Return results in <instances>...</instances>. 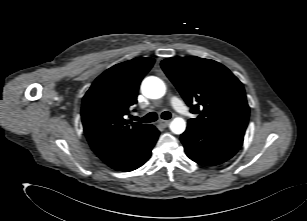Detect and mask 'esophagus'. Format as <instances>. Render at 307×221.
Instances as JSON below:
<instances>
[{
	"mask_svg": "<svg viewBox=\"0 0 307 221\" xmlns=\"http://www.w3.org/2000/svg\"><path fill=\"white\" fill-rule=\"evenodd\" d=\"M170 123V120H161L159 124L163 127H167Z\"/></svg>",
	"mask_w": 307,
	"mask_h": 221,
	"instance_id": "esophagus-1",
	"label": "esophagus"
}]
</instances>
